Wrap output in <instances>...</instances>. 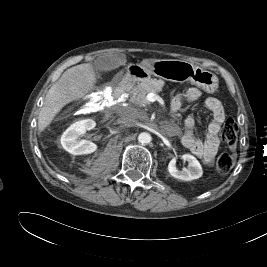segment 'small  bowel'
I'll return each mask as SVG.
<instances>
[{
    "label": "small bowel",
    "mask_w": 267,
    "mask_h": 267,
    "mask_svg": "<svg viewBox=\"0 0 267 267\" xmlns=\"http://www.w3.org/2000/svg\"><path fill=\"white\" fill-rule=\"evenodd\" d=\"M201 96L197 88H190L183 93L176 95L171 101V110L177 112L185 108L189 103L196 101ZM205 109L211 113L212 120L208 126L204 139H197L195 136L196 122L193 116L185 119V132L182 136V144L195 156L206 164L212 163L220 144L219 132L225 120V112L221 102L215 97H209L204 104Z\"/></svg>",
    "instance_id": "obj_1"
}]
</instances>
